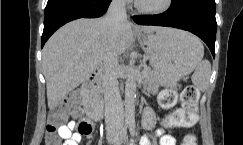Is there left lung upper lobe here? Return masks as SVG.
I'll return each mask as SVG.
<instances>
[{
	"label": "left lung upper lobe",
	"mask_w": 243,
	"mask_h": 145,
	"mask_svg": "<svg viewBox=\"0 0 243 145\" xmlns=\"http://www.w3.org/2000/svg\"><path fill=\"white\" fill-rule=\"evenodd\" d=\"M171 6H177L192 14H215L214 0H172Z\"/></svg>",
	"instance_id": "obj_1"
}]
</instances>
